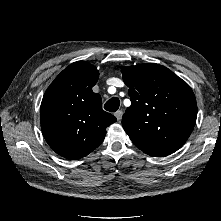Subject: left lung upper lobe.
I'll return each mask as SVG.
<instances>
[{
  "mask_svg": "<svg viewBox=\"0 0 221 221\" xmlns=\"http://www.w3.org/2000/svg\"><path fill=\"white\" fill-rule=\"evenodd\" d=\"M122 76L132 102L122 126L134 145L159 157L178 150L196 120V100L189 85L154 63L125 67Z\"/></svg>",
  "mask_w": 221,
  "mask_h": 221,
  "instance_id": "left-lung-upper-lobe-1",
  "label": "left lung upper lobe"
}]
</instances>
